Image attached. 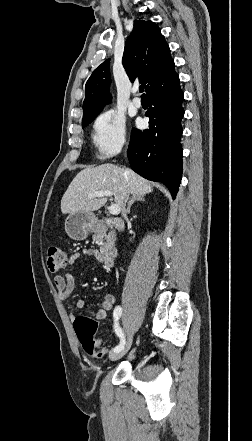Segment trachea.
<instances>
[{"label":"trachea","instance_id":"obj_1","mask_svg":"<svg viewBox=\"0 0 252 441\" xmlns=\"http://www.w3.org/2000/svg\"><path fill=\"white\" fill-rule=\"evenodd\" d=\"M139 92L143 93L144 92V85H140L139 87ZM142 96H144V94H142Z\"/></svg>","mask_w":252,"mask_h":441}]
</instances>
